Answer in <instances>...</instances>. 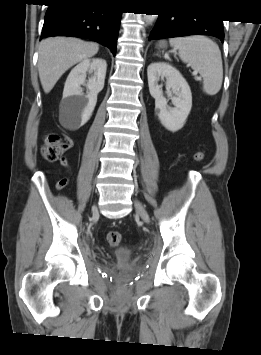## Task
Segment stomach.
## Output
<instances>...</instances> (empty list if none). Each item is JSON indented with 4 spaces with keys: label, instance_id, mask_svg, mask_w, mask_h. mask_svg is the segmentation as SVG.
Listing matches in <instances>:
<instances>
[{
    "label": "stomach",
    "instance_id": "stomach-1",
    "mask_svg": "<svg viewBox=\"0 0 261 355\" xmlns=\"http://www.w3.org/2000/svg\"><path fill=\"white\" fill-rule=\"evenodd\" d=\"M159 47H161V48L166 47V43H165V42H160V43H159Z\"/></svg>",
    "mask_w": 261,
    "mask_h": 355
}]
</instances>
